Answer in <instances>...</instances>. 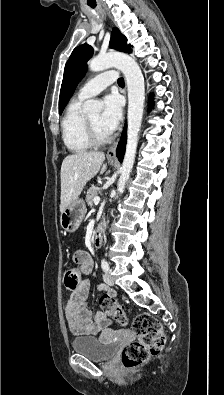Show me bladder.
I'll use <instances>...</instances> for the list:
<instances>
[{"label":"bladder","instance_id":"31cf9c89","mask_svg":"<svg viewBox=\"0 0 224 395\" xmlns=\"http://www.w3.org/2000/svg\"><path fill=\"white\" fill-rule=\"evenodd\" d=\"M72 348L77 354H82L92 361H107L116 352L112 341H105L103 337H76L72 341Z\"/></svg>","mask_w":224,"mask_h":395}]
</instances>
